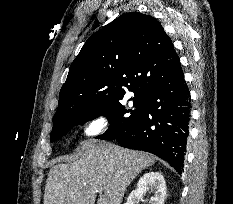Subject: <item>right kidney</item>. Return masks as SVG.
<instances>
[{
  "instance_id": "ca27d5eb",
  "label": "right kidney",
  "mask_w": 233,
  "mask_h": 204,
  "mask_svg": "<svg viewBox=\"0 0 233 204\" xmlns=\"http://www.w3.org/2000/svg\"><path fill=\"white\" fill-rule=\"evenodd\" d=\"M146 191L154 195L150 199L151 204H164L166 197V183L164 177L159 172H147L138 181L137 188L128 196L125 204H138Z\"/></svg>"
}]
</instances>
